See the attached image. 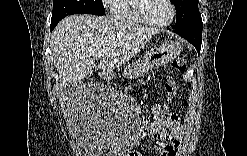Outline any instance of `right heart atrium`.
<instances>
[{"instance_id":"right-heart-atrium-1","label":"right heart atrium","mask_w":247,"mask_h":156,"mask_svg":"<svg viewBox=\"0 0 247 156\" xmlns=\"http://www.w3.org/2000/svg\"><path fill=\"white\" fill-rule=\"evenodd\" d=\"M114 2H115V1H106V4H107V5H113Z\"/></svg>"}]
</instances>
